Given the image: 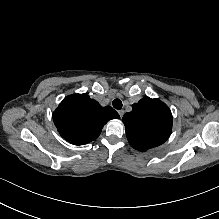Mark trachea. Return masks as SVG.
Returning a JSON list of instances; mask_svg holds the SVG:
<instances>
[{"label": "trachea", "mask_w": 219, "mask_h": 219, "mask_svg": "<svg viewBox=\"0 0 219 219\" xmlns=\"http://www.w3.org/2000/svg\"><path fill=\"white\" fill-rule=\"evenodd\" d=\"M112 105L115 109L120 110L123 107V103L120 99L116 98L113 100Z\"/></svg>", "instance_id": "obj_1"}]
</instances>
